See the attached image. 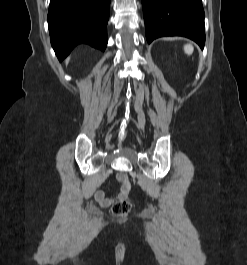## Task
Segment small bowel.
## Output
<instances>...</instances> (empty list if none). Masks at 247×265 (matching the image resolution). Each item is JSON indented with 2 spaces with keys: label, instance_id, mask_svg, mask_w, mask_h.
Masks as SVG:
<instances>
[{
  "label": "small bowel",
  "instance_id": "c3829d8e",
  "mask_svg": "<svg viewBox=\"0 0 247 265\" xmlns=\"http://www.w3.org/2000/svg\"><path fill=\"white\" fill-rule=\"evenodd\" d=\"M127 195L128 191L122 189L118 195V198L126 199ZM94 197L95 200L103 207L109 206L113 201L111 198L106 197L105 193L102 190L96 191Z\"/></svg>",
  "mask_w": 247,
  "mask_h": 265
}]
</instances>
